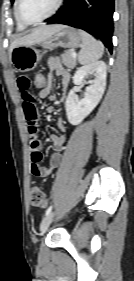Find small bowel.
Segmentation results:
<instances>
[{
    "mask_svg": "<svg viewBox=\"0 0 134 281\" xmlns=\"http://www.w3.org/2000/svg\"><path fill=\"white\" fill-rule=\"evenodd\" d=\"M47 63L49 69L61 78L62 90L63 92H65L70 83L69 72L63 67L60 59L57 57L49 58ZM53 80V74H49L46 88L39 93V97L41 99L53 100V96L51 95ZM16 84L18 89L20 90L22 107L25 119L27 121L28 131L31 135L34 136L31 140L30 171L35 176L46 177L61 163L62 151L66 141L65 122L62 119H59L58 127L61 133L52 134L50 136L53 152L50 157L49 165L41 166L40 163L43 160V154L41 152V142L37 137H35V135L38 133L39 125L36 98L31 90L32 80L27 74H20L16 78Z\"/></svg>",
    "mask_w": 134,
    "mask_h": 281,
    "instance_id": "1",
    "label": "small bowel"
}]
</instances>
